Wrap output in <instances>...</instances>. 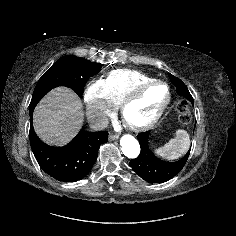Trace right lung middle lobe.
<instances>
[{"label": "right lung middle lobe", "instance_id": "1", "mask_svg": "<svg viewBox=\"0 0 236 236\" xmlns=\"http://www.w3.org/2000/svg\"><path fill=\"white\" fill-rule=\"evenodd\" d=\"M102 64L90 62L76 56H63L58 59L39 79L29 108L36 104L51 89L66 86L73 89L80 97L87 80L100 72Z\"/></svg>", "mask_w": 236, "mask_h": 236}]
</instances>
